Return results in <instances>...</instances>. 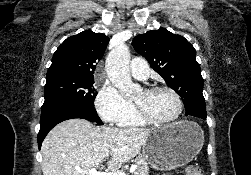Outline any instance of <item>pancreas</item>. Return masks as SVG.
Listing matches in <instances>:
<instances>
[{
  "label": "pancreas",
  "instance_id": "1",
  "mask_svg": "<svg viewBox=\"0 0 251 175\" xmlns=\"http://www.w3.org/2000/svg\"><path fill=\"white\" fill-rule=\"evenodd\" d=\"M135 161L137 167L134 175H149L147 159H144V157H136Z\"/></svg>",
  "mask_w": 251,
  "mask_h": 175
}]
</instances>
